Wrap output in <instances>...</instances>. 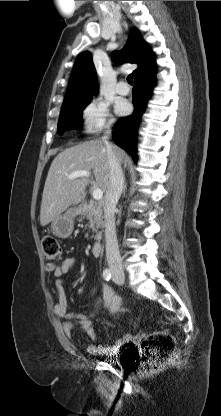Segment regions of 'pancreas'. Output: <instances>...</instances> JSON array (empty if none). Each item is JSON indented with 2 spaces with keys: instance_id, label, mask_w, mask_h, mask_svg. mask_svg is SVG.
Masks as SVG:
<instances>
[{
  "instance_id": "pancreas-1",
  "label": "pancreas",
  "mask_w": 221,
  "mask_h": 416,
  "mask_svg": "<svg viewBox=\"0 0 221 416\" xmlns=\"http://www.w3.org/2000/svg\"><path fill=\"white\" fill-rule=\"evenodd\" d=\"M80 215L79 220L87 219L88 227L96 233L95 239L101 238V232H99V229L103 227V212H102V205L90 201L89 203H85L82 207L78 209L77 212Z\"/></svg>"
}]
</instances>
